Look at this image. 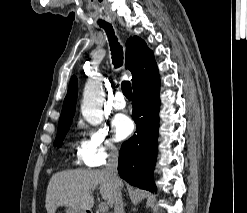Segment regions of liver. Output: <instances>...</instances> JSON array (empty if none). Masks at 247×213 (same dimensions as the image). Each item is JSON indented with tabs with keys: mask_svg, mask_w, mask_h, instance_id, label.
<instances>
[{
	"mask_svg": "<svg viewBox=\"0 0 247 213\" xmlns=\"http://www.w3.org/2000/svg\"><path fill=\"white\" fill-rule=\"evenodd\" d=\"M100 187L101 197L109 206L114 204V183L105 170H67L52 175L46 192L47 213L59 206L90 210L93 192Z\"/></svg>",
	"mask_w": 247,
	"mask_h": 213,
	"instance_id": "liver-1",
	"label": "liver"
}]
</instances>
